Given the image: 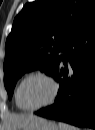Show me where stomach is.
Here are the masks:
<instances>
[{
	"mask_svg": "<svg viewBox=\"0 0 95 130\" xmlns=\"http://www.w3.org/2000/svg\"><path fill=\"white\" fill-rule=\"evenodd\" d=\"M19 130H59V128L53 121L36 117Z\"/></svg>",
	"mask_w": 95,
	"mask_h": 130,
	"instance_id": "1",
	"label": "stomach"
}]
</instances>
